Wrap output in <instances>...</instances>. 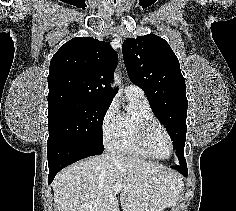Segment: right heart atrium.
<instances>
[{"label":"right heart atrium","instance_id":"1","mask_svg":"<svg viewBox=\"0 0 236 211\" xmlns=\"http://www.w3.org/2000/svg\"><path fill=\"white\" fill-rule=\"evenodd\" d=\"M118 124V114L114 103H110L100 121V132L104 146L109 147L115 137Z\"/></svg>","mask_w":236,"mask_h":211}]
</instances>
